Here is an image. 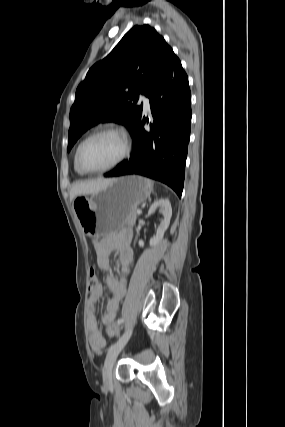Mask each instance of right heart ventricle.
<instances>
[{"label": "right heart ventricle", "instance_id": "obj_1", "mask_svg": "<svg viewBox=\"0 0 285 427\" xmlns=\"http://www.w3.org/2000/svg\"><path fill=\"white\" fill-rule=\"evenodd\" d=\"M76 152H77V149H76ZM76 152H75V154H74V168H75V171H76L78 174L83 175V174H85V173H83V172L79 169V167L77 166V163H76Z\"/></svg>", "mask_w": 285, "mask_h": 427}]
</instances>
